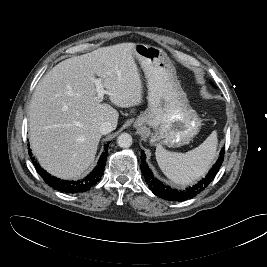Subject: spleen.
Returning <instances> with one entry per match:
<instances>
[{
	"mask_svg": "<svg viewBox=\"0 0 267 267\" xmlns=\"http://www.w3.org/2000/svg\"><path fill=\"white\" fill-rule=\"evenodd\" d=\"M217 132L213 131L198 147L186 152L156 148V160L162 172L174 183L186 185L205 174L216 157Z\"/></svg>",
	"mask_w": 267,
	"mask_h": 267,
	"instance_id": "spleen-1",
	"label": "spleen"
}]
</instances>
